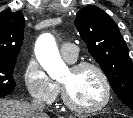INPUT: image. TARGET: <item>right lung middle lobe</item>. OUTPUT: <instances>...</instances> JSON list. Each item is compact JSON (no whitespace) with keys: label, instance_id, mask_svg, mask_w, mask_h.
<instances>
[{"label":"right lung middle lobe","instance_id":"obj_1","mask_svg":"<svg viewBox=\"0 0 133 118\" xmlns=\"http://www.w3.org/2000/svg\"><path fill=\"white\" fill-rule=\"evenodd\" d=\"M16 59L0 58V97L10 94L16 87L13 77Z\"/></svg>","mask_w":133,"mask_h":118}]
</instances>
